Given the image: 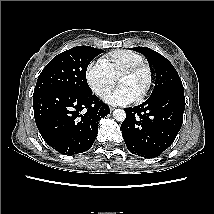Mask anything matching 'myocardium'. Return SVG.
I'll list each match as a JSON object with an SVG mask.
<instances>
[{"instance_id": "myocardium-1", "label": "myocardium", "mask_w": 214, "mask_h": 214, "mask_svg": "<svg viewBox=\"0 0 214 214\" xmlns=\"http://www.w3.org/2000/svg\"><path fill=\"white\" fill-rule=\"evenodd\" d=\"M140 72H144L146 75V83L145 86L141 92V94L136 97L137 101H143L149 94L152 86H153V81H154V75H153V70L151 66L146 63V62H140L135 65H132L126 69H124L118 76V78L122 76H131L138 74Z\"/></svg>"}]
</instances>
